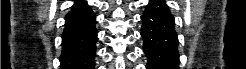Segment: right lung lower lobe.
I'll return each mask as SVG.
<instances>
[{
  "mask_svg": "<svg viewBox=\"0 0 246 69\" xmlns=\"http://www.w3.org/2000/svg\"><path fill=\"white\" fill-rule=\"evenodd\" d=\"M95 23L94 12L87 3L76 1L65 18L61 69H94L97 41Z\"/></svg>",
  "mask_w": 246,
  "mask_h": 69,
  "instance_id": "98d812e1",
  "label": "right lung lower lobe"
}]
</instances>
